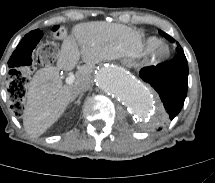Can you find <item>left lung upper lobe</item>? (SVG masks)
Returning <instances> with one entry per match:
<instances>
[{"label": "left lung upper lobe", "mask_w": 215, "mask_h": 183, "mask_svg": "<svg viewBox=\"0 0 215 183\" xmlns=\"http://www.w3.org/2000/svg\"><path fill=\"white\" fill-rule=\"evenodd\" d=\"M159 33L162 36H164L166 39H168L169 41L174 42V39L171 36H169L168 34H166L165 32L159 31ZM176 51L178 52V54H184V51L180 46L178 48H176Z\"/></svg>", "instance_id": "left-lung-upper-lobe-1"}]
</instances>
